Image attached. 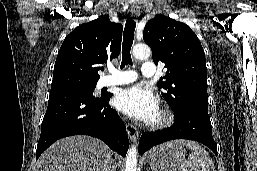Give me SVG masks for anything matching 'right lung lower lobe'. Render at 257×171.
Segmentation results:
<instances>
[{
    "label": "right lung lower lobe",
    "instance_id": "right-lung-lower-lobe-1",
    "mask_svg": "<svg viewBox=\"0 0 257 171\" xmlns=\"http://www.w3.org/2000/svg\"><path fill=\"white\" fill-rule=\"evenodd\" d=\"M111 96L94 97L75 91L50 94L37 144L36 160L55 141L73 135L99 138L113 151L125 156L129 140L124 123L108 104Z\"/></svg>",
    "mask_w": 257,
    "mask_h": 171
}]
</instances>
